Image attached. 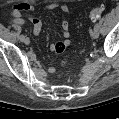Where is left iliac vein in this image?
I'll return each mask as SVG.
<instances>
[{"label": "left iliac vein", "mask_w": 119, "mask_h": 119, "mask_svg": "<svg viewBox=\"0 0 119 119\" xmlns=\"http://www.w3.org/2000/svg\"><path fill=\"white\" fill-rule=\"evenodd\" d=\"M91 37L93 39H96L99 37V30L98 29H93V31L91 32Z\"/></svg>", "instance_id": "4c4485c4"}]
</instances>
